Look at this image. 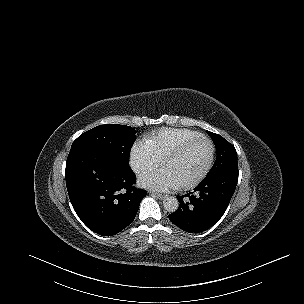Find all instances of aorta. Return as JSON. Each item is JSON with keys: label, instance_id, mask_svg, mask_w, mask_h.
Returning a JSON list of instances; mask_svg holds the SVG:
<instances>
[{"label": "aorta", "instance_id": "1", "mask_svg": "<svg viewBox=\"0 0 304 304\" xmlns=\"http://www.w3.org/2000/svg\"><path fill=\"white\" fill-rule=\"evenodd\" d=\"M163 207L166 211L173 213L177 211L179 207V201L174 196H168L163 200Z\"/></svg>", "mask_w": 304, "mask_h": 304}]
</instances>
